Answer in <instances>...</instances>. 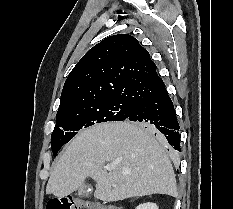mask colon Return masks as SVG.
Instances as JSON below:
<instances>
[{
  "mask_svg": "<svg viewBox=\"0 0 233 209\" xmlns=\"http://www.w3.org/2000/svg\"><path fill=\"white\" fill-rule=\"evenodd\" d=\"M46 209H121L100 201L85 200L79 197L53 199L47 203Z\"/></svg>",
  "mask_w": 233,
  "mask_h": 209,
  "instance_id": "1",
  "label": "colon"
}]
</instances>
